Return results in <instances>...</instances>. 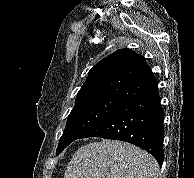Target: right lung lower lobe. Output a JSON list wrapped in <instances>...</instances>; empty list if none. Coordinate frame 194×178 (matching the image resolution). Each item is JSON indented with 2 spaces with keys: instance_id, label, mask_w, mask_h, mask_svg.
I'll return each mask as SVG.
<instances>
[{
  "instance_id": "98d812e1",
  "label": "right lung lower lobe",
  "mask_w": 194,
  "mask_h": 178,
  "mask_svg": "<svg viewBox=\"0 0 194 178\" xmlns=\"http://www.w3.org/2000/svg\"><path fill=\"white\" fill-rule=\"evenodd\" d=\"M164 110L158 90L131 99L100 120L79 138L101 137L132 143L162 166Z\"/></svg>"
}]
</instances>
